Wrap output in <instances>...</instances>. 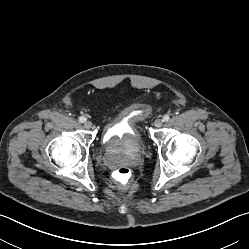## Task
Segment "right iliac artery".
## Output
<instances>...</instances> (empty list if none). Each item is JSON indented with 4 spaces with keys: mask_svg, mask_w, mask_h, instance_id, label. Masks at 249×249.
<instances>
[{
    "mask_svg": "<svg viewBox=\"0 0 249 249\" xmlns=\"http://www.w3.org/2000/svg\"><path fill=\"white\" fill-rule=\"evenodd\" d=\"M86 121V118L84 116L79 117V122L83 123Z\"/></svg>",
    "mask_w": 249,
    "mask_h": 249,
    "instance_id": "obj_1",
    "label": "right iliac artery"
}]
</instances>
